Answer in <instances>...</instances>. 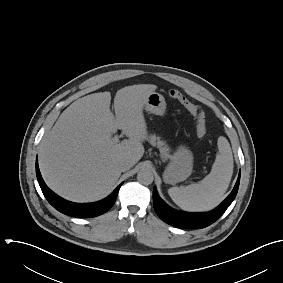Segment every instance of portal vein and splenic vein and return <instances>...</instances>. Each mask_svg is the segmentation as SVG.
Wrapping results in <instances>:
<instances>
[{
    "mask_svg": "<svg viewBox=\"0 0 283 283\" xmlns=\"http://www.w3.org/2000/svg\"><path fill=\"white\" fill-rule=\"evenodd\" d=\"M114 140H115V141H118V140H119V138H118L117 136H115V137H114Z\"/></svg>",
    "mask_w": 283,
    "mask_h": 283,
    "instance_id": "portal-vein-and-splenic-vein-1",
    "label": "portal vein and splenic vein"
}]
</instances>
